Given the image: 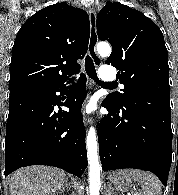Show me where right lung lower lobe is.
<instances>
[{
	"label": "right lung lower lobe",
	"mask_w": 178,
	"mask_h": 195,
	"mask_svg": "<svg viewBox=\"0 0 178 195\" xmlns=\"http://www.w3.org/2000/svg\"><path fill=\"white\" fill-rule=\"evenodd\" d=\"M85 75L70 91L58 111L65 84L26 89L9 96L5 141V176L28 165L55 166L76 176L87 167L85 127L81 106L85 98Z\"/></svg>",
	"instance_id": "right-lung-lower-lobe-1"
}]
</instances>
